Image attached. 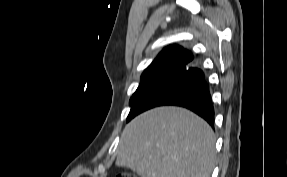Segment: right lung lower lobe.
I'll list each match as a JSON object with an SVG mask.
<instances>
[{"instance_id":"right-lung-lower-lobe-1","label":"right lung lower lobe","mask_w":287,"mask_h":177,"mask_svg":"<svg viewBox=\"0 0 287 177\" xmlns=\"http://www.w3.org/2000/svg\"><path fill=\"white\" fill-rule=\"evenodd\" d=\"M163 105L185 107L214 125V107L208 83L203 71L192 64L180 66L156 80L132 105L130 112L133 118Z\"/></svg>"}]
</instances>
